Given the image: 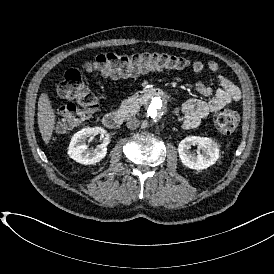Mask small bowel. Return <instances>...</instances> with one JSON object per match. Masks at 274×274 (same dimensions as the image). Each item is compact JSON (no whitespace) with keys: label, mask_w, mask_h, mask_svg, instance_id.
I'll return each mask as SVG.
<instances>
[{"label":"small bowel","mask_w":274,"mask_h":274,"mask_svg":"<svg viewBox=\"0 0 274 274\" xmlns=\"http://www.w3.org/2000/svg\"><path fill=\"white\" fill-rule=\"evenodd\" d=\"M206 69L211 73H216L219 69V64L216 61H209L206 65L201 60L193 61L192 70L195 74H201ZM131 75L132 74L124 76ZM113 77L115 78L116 76ZM217 82L219 87L215 91L203 82L196 83L195 89L199 94L203 96L214 95L208 101L193 98L183 104L182 115L184 128L191 129L198 127L212 113L241 99L239 87L229 77L218 75Z\"/></svg>","instance_id":"small-bowel-1"}]
</instances>
